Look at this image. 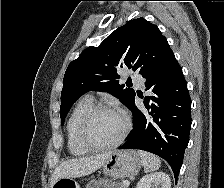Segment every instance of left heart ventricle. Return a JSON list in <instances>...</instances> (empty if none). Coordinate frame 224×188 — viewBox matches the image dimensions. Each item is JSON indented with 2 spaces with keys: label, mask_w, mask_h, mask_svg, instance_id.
<instances>
[{
  "label": "left heart ventricle",
  "mask_w": 224,
  "mask_h": 188,
  "mask_svg": "<svg viewBox=\"0 0 224 188\" xmlns=\"http://www.w3.org/2000/svg\"><path fill=\"white\" fill-rule=\"evenodd\" d=\"M124 128L123 116L115 111L99 112L89 127L90 138L98 144L115 141Z\"/></svg>",
  "instance_id": "1"
}]
</instances>
